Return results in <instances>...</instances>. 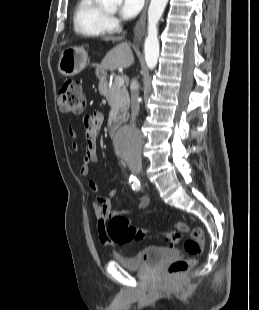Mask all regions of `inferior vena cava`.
Returning <instances> with one entry per match:
<instances>
[{
  "label": "inferior vena cava",
  "instance_id": "1",
  "mask_svg": "<svg viewBox=\"0 0 259 310\" xmlns=\"http://www.w3.org/2000/svg\"><path fill=\"white\" fill-rule=\"evenodd\" d=\"M130 90H131V125L134 126L140 109L138 101L139 88L137 81L135 79H133L131 82ZM133 162L136 164H141V155L139 153H137L134 156Z\"/></svg>",
  "mask_w": 259,
  "mask_h": 310
}]
</instances>
